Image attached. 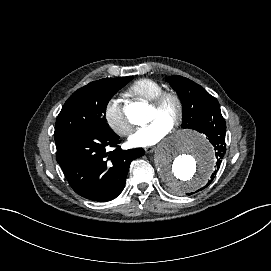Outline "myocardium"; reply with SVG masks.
Returning a JSON list of instances; mask_svg holds the SVG:
<instances>
[{"mask_svg": "<svg viewBox=\"0 0 271 271\" xmlns=\"http://www.w3.org/2000/svg\"><path fill=\"white\" fill-rule=\"evenodd\" d=\"M169 100H173L177 105V111L173 115L170 124L174 128L183 121L186 113L185 100L178 90L173 88L163 90L151 101V107L155 111L162 113Z\"/></svg>", "mask_w": 271, "mask_h": 271, "instance_id": "obj_1", "label": "myocardium"}]
</instances>
